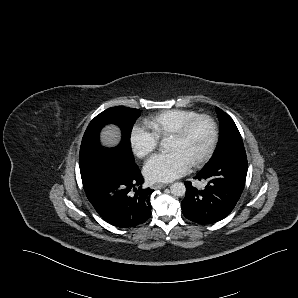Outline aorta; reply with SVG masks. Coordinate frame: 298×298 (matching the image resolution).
<instances>
[{
    "instance_id": "762f6f07",
    "label": "aorta",
    "mask_w": 298,
    "mask_h": 298,
    "mask_svg": "<svg viewBox=\"0 0 298 298\" xmlns=\"http://www.w3.org/2000/svg\"><path fill=\"white\" fill-rule=\"evenodd\" d=\"M170 191L174 196L180 197V196L185 195L186 186H185L184 182L176 181L170 185Z\"/></svg>"
}]
</instances>
